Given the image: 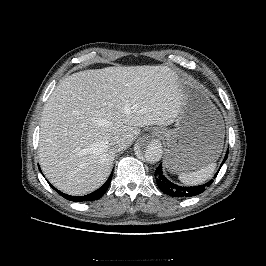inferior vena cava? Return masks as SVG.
Returning <instances> with one entry per match:
<instances>
[{"mask_svg":"<svg viewBox=\"0 0 266 266\" xmlns=\"http://www.w3.org/2000/svg\"><path fill=\"white\" fill-rule=\"evenodd\" d=\"M127 138L125 136L116 135L110 141V147L113 151L118 152L126 147Z\"/></svg>","mask_w":266,"mask_h":266,"instance_id":"inferior-vena-cava-1","label":"inferior vena cava"}]
</instances>
